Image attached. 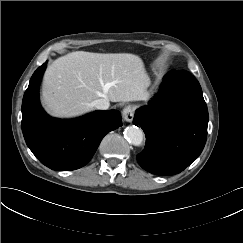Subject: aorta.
<instances>
[{"instance_id": "aorta-1", "label": "aorta", "mask_w": 243, "mask_h": 243, "mask_svg": "<svg viewBox=\"0 0 243 243\" xmlns=\"http://www.w3.org/2000/svg\"><path fill=\"white\" fill-rule=\"evenodd\" d=\"M124 136L132 145L140 146L143 142L144 133L137 126H128L124 130Z\"/></svg>"}]
</instances>
